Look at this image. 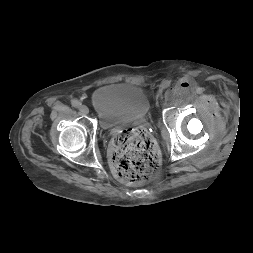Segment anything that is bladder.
<instances>
[{
    "mask_svg": "<svg viewBox=\"0 0 253 253\" xmlns=\"http://www.w3.org/2000/svg\"><path fill=\"white\" fill-rule=\"evenodd\" d=\"M91 104L100 120L109 123L143 118L151 108L145 90L125 82L99 87L91 96Z\"/></svg>",
    "mask_w": 253,
    "mask_h": 253,
    "instance_id": "bladder-1",
    "label": "bladder"
}]
</instances>
